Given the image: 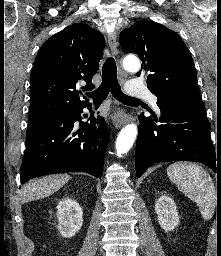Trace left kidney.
Wrapping results in <instances>:
<instances>
[{
    "label": "left kidney",
    "mask_w": 221,
    "mask_h": 256,
    "mask_svg": "<svg viewBox=\"0 0 221 256\" xmlns=\"http://www.w3.org/2000/svg\"><path fill=\"white\" fill-rule=\"evenodd\" d=\"M158 222L165 231H173L179 223V215L174 200L162 195L155 204Z\"/></svg>",
    "instance_id": "obj_1"
}]
</instances>
